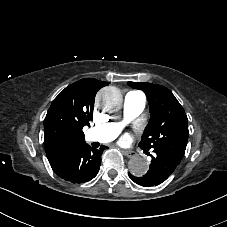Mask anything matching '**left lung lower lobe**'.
<instances>
[{"label": "left lung lower lobe", "mask_w": 227, "mask_h": 227, "mask_svg": "<svg viewBox=\"0 0 227 227\" xmlns=\"http://www.w3.org/2000/svg\"><path fill=\"white\" fill-rule=\"evenodd\" d=\"M154 153L155 155L151 156L149 170L143 177H135L129 173V177L135 183L147 187L159 185L172 174L182 160L166 151H154Z\"/></svg>", "instance_id": "0a47b994"}]
</instances>
